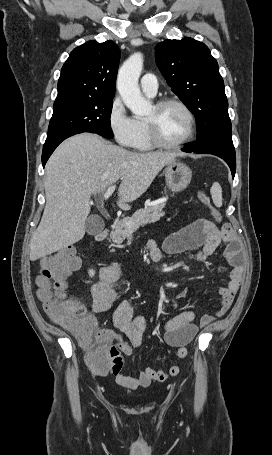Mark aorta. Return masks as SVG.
<instances>
[{"label": "aorta", "instance_id": "aorta-1", "mask_svg": "<svg viewBox=\"0 0 272 455\" xmlns=\"http://www.w3.org/2000/svg\"><path fill=\"white\" fill-rule=\"evenodd\" d=\"M143 68V55L134 53L121 66L117 77V89L124 104L137 116H146L152 105L141 94L138 86Z\"/></svg>", "mask_w": 272, "mask_h": 455}]
</instances>
